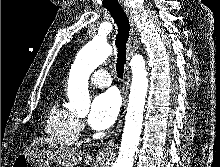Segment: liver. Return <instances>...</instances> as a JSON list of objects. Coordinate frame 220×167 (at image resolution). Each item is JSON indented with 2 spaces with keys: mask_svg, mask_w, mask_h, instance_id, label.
Wrapping results in <instances>:
<instances>
[{
  "mask_svg": "<svg viewBox=\"0 0 220 167\" xmlns=\"http://www.w3.org/2000/svg\"><path fill=\"white\" fill-rule=\"evenodd\" d=\"M24 154L31 156L42 167H49L53 163L61 167H75L83 157V152L74 147L59 145L51 139H34Z\"/></svg>",
  "mask_w": 220,
  "mask_h": 167,
  "instance_id": "6515ba94",
  "label": "liver"
}]
</instances>
